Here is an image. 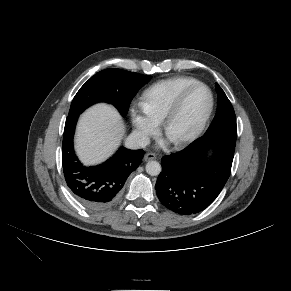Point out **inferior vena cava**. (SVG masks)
<instances>
[{
    "label": "inferior vena cava",
    "instance_id": "1",
    "mask_svg": "<svg viewBox=\"0 0 291 291\" xmlns=\"http://www.w3.org/2000/svg\"><path fill=\"white\" fill-rule=\"evenodd\" d=\"M149 144V137L140 131H133L125 141L126 147L130 149L145 148Z\"/></svg>",
    "mask_w": 291,
    "mask_h": 291
}]
</instances>
